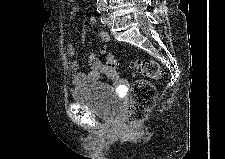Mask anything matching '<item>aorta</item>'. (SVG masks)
Listing matches in <instances>:
<instances>
[{"label": "aorta", "mask_w": 225, "mask_h": 159, "mask_svg": "<svg viewBox=\"0 0 225 159\" xmlns=\"http://www.w3.org/2000/svg\"><path fill=\"white\" fill-rule=\"evenodd\" d=\"M97 6L98 7H106L107 1L106 0H97Z\"/></svg>", "instance_id": "aorta-1"}]
</instances>
